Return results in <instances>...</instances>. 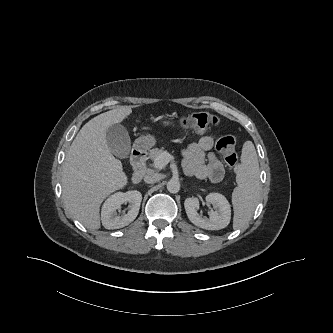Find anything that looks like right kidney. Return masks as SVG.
<instances>
[{
  "mask_svg": "<svg viewBox=\"0 0 333 333\" xmlns=\"http://www.w3.org/2000/svg\"><path fill=\"white\" fill-rule=\"evenodd\" d=\"M142 194L137 190L117 192L104 202L101 211L102 224L106 229H118L129 225L138 215ZM129 202L127 213L117 215L116 210Z\"/></svg>",
  "mask_w": 333,
  "mask_h": 333,
  "instance_id": "1",
  "label": "right kidney"
}]
</instances>
